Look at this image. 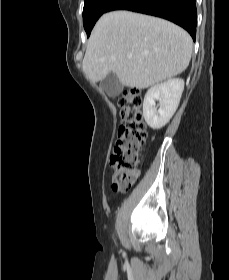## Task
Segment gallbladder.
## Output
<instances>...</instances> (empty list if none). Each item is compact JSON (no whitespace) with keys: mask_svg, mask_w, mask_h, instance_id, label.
I'll use <instances>...</instances> for the list:
<instances>
[{"mask_svg":"<svg viewBox=\"0 0 229 280\" xmlns=\"http://www.w3.org/2000/svg\"><path fill=\"white\" fill-rule=\"evenodd\" d=\"M100 87L110 97H117L122 91V84L116 74L110 72L101 82Z\"/></svg>","mask_w":229,"mask_h":280,"instance_id":"gallbladder-1","label":"gallbladder"}]
</instances>
